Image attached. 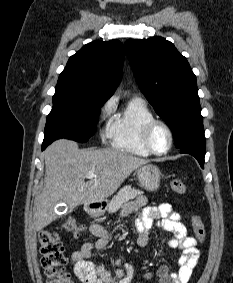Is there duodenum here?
I'll list each match as a JSON object with an SVG mask.
<instances>
[{"label":"duodenum","mask_w":233,"mask_h":283,"mask_svg":"<svg viewBox=\"0 0 233 283\" xmlns=\"http://www.w3.org/2000/svg\"><path fill=\"white\" fill-rule=\"evenodd\" d=\"M106 208V204L102 201H96L88 206V212L91 214H98Z\"/></svg>","instance_id":"duodenum-1"}]
</instances>
